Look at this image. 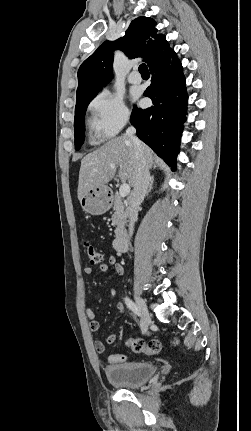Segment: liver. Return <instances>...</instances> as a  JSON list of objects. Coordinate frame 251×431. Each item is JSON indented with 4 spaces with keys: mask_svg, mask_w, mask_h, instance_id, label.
I'll use <instances>...</instances> for the list:
<instances>
[{
    "mask_svg": "<svg viewBox=\"0 0 251 431\" xmlns=\"http://www.w3.org/2000/svg\"><path fill=\"white\" fill-rule=\"evenodd\" d=\"M142 147L148 168H151L155 155L146 144L142 143ZM118 167V177L122 181L127 180L129 185L133 186L135 181L134 143L126 135L109 140L81 160L78 199L80 200L91 189L105 186L115 176Z\"/></svg>",
    "mask_w": 251,
    "mask_h": 431,
    "instance_id": "liver-1",
    "label": "liver"
}]
</instances>
